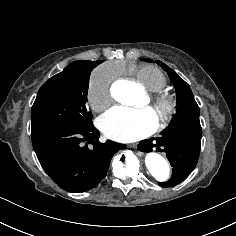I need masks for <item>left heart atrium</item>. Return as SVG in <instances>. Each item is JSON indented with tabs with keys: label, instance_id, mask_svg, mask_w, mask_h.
<instances>
[{
	"label": "left heart atrium",
	"instance_id": "39dd6f15",
	"mask_svg": "<svg viewBox=\"0 0 236 236\" xmlns=\"http://www.w3.org/2000/svg\"><path fill=\"white\" fill-rule=\"evenodd\" d=\"M99 126L110 139L133 142L154 130L155 113L151 108L115 106L101 116Z\"/></svg>",
	"mask_w": 236,
	"mask_h": 236
}]
</instances>
